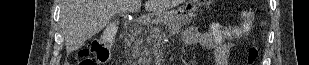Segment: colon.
I'll return each instance as SVG.
<instances>
[{
  "label": "colon",
  "instance_id": "5ec220e1",
  "mask_svg": "<svg viewBox=\"0 0 309 65\" xmlns=\"http://www.w3.org/2000/svg\"><path fill=\"white\" fill-rule=\"evenodd\" d=\"M256 11L254 7L242 10L240 12V25L238 27L227 28L220 24L212 26V32L235 38L241 35V33L253 26L255 23ZM117 35V29L113 25H108L98 40L93 41L89 48L85 50L82 55L79 56L78 65H99L106 63L111 56V49L115 42ZM258 59V49L252 46L248 50L247 62L249 65H255Z\"/></svg>",
  "mask_w": 309,
  "mask_h": 65
}]
</instances>
